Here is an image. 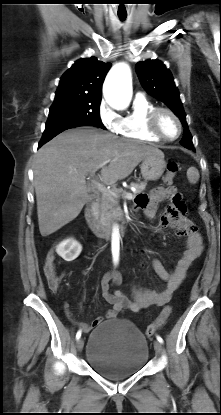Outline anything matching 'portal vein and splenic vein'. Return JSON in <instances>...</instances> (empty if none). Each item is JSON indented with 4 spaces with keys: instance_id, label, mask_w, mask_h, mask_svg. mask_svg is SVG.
<instances>
[{
    "instance_id": "obj_1",
    "label": "portal vein and splenic vein",
    "mask_w": 221,
    "mask_h": 415,
    "mask_svg": "<svg viewBox=\"0 0 221 415\" xmlns=\"http://www.w3.org/2000/svg\"><path fill=\"white\" fill-rule=\"evenodd\" d=\"M110 162H111L110 160H107L104 163L100 164L92 173H94L97 169L103 167L104 165H106V164H108ZM93 183H94L95 188L98 191H100L102 193H105V194H112V195L117 196V197L119 196L118 193H115L114 191L107 189L103 184H101L99 182H96V181H93ZM122 196L124 198H127V199H132L133 198V194L132 193L125 192V191L123 192Z\"/></svg>"
}]
</instances>
